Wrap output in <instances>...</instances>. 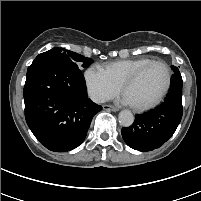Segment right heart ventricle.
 <instances>
[{
    "mask_svg": "<svg viewBox=\"0 0 201 201\" xmlns=\"http://www.w3.org/2000/svg\"><path fill=\"white\" fill-rule=\"evenodd\" d=\"M150 58H138L128 60H118L105 65V70L111 78L119 85L132 74L136 69L151 61Z\"/></svg>",
    "mask_w": 201,
    "mask_h": 201,
    "instance_id": "obj_1",
    "label": "right heart ventricle"
}]
</instances>
